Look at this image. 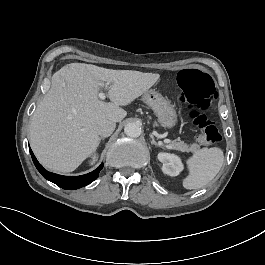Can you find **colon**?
Here are the masks:
<instances>
[{"mask_svg":"<svg viewBox=\"0 0 265 265\" xmlns=\"http://www.w3.org/2000/svg\"><path fill=\"white\" fill-rule=\"evenodd\" d=\"M176 86L186 96V101L189 103L188 117L200 131L201 143L219 144L221 141L219 129L213 117L207 114V110L218 97L212 79L202 77L197 69L185 68L177 74Z\"/></svg>","mask_w":265,"mask_h":265,"instance_id":"5ec220e1","label":"colon"}]
</instances>
